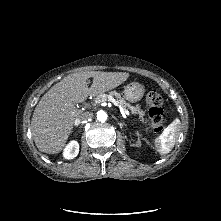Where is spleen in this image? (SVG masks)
<instances>
[{"label":"spleen","mask_w":221,"mask_h":221,"mask_svg":"<svg viewBox=\"0 0 221 221\" xmlns=\"http://www.w3.org/2000/svg\"><path fill=\"white\" fill-rule=\"evenodd\" d=\"M180 124L179 118H176L170 123L162 132V134L155 140L156 148L159 154H168L174 147L178 126Z\"/></svg>","instance_id":"1"}]
</instances>
